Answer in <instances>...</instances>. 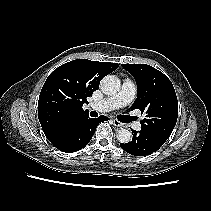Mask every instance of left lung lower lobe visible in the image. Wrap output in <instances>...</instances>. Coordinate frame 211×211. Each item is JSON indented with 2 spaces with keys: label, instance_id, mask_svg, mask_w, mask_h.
<instances>
[{
  "label": "left lung lower lobe",
  "instance_id": "left-lung-lower-lobe-1",
  "mask_svg": "<svg viewBox=\"0 0 211 211\" xmlns=\"http://www.w3.org/2000/svg\"><path fill=\"white\" fill-rule=\"evenodd\" d=\"M133 138L129 143H121L123 150L134 156H144L156 152L164 143L153 138L152 136L132 130Z\"/></svg>",
  "mask_w": 211,
  "mask_h": 211
}]
</instances>
